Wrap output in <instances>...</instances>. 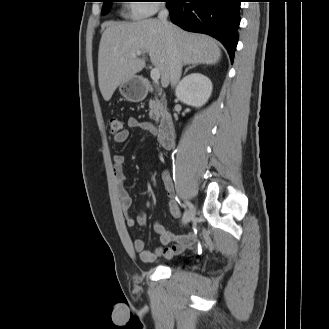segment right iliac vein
<instances>
[{
  "label": "right iliac vein",
  "mask_w": 329,
  "mask_h": 329,
  "mask_svg": "<svg viewBox=\"0 0 329 329\" xmlns=\"http://www.w3.org/2000/svg\"><path fill=\"white\" fill-rule=\"evenodd\" d=\"M194 216H195V208L185 213L183 222L185 224L189 223L194 218Z\"/></svg>",
  "instance_id": "1"
}]
</instances>
